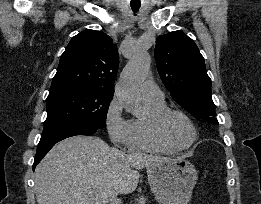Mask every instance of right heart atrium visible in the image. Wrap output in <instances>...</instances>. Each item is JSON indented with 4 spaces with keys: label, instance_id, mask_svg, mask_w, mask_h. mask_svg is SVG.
I'll list each match as a JSON object with an SVG mask.
<instances>
[{
    "label": "right heart atrium",
    "instance_id": "d8ad5b80",
    "mask_svg": "<svg viewBox=\"0 0 261 204\" xmlns=\"http://www.w3.org/2000/svg\"><path fill=\"white\" fill-rule=\"evenodd\" d=\"M105 128L110 141L116 146L129 144L130 120L123 115V105L117 97L109 102L105 112Z\"/></svg>",
    "mask_w": 261,
    "mask_h": 204
}]
</instances>
